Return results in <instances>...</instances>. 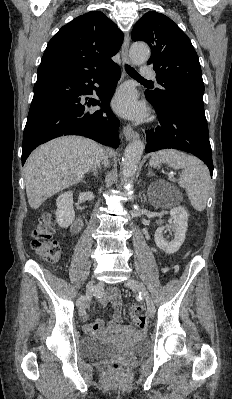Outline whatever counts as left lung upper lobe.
Wrapping results in <instances>:
<instances>
[{"label": "left lung upper lobe", "mask_w": 232, "mask_h": 399, "mask_svg": "<svg viewBox=\"0 0 232 399\" xmlns=\"http://www.w3.org/2000/svg\"><path fill=\"white\" fill-rule=\"evenodd\" d=\"M132 40L144 41L151 47L148 65L155 70L162 88L145 92L150 102L163 109L179 111L208 129L201 67L188 36L170 18L151 11L135 24Z\"/></svg>", "instance_id": "5c2ea615"}]
</instances>
